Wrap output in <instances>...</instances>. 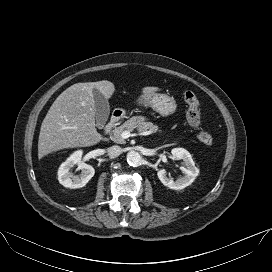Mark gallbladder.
<instances>
[{"mask_svg":"<svg viewBox=\"0 0 272 272\" xmlns=\"http://www.w3.org/2000/svg\"><path fill=\"white\" fill-rule=\"evenodd\" d=\"M93 96L96 109V125L102 129L110 114V106L108 99L96 88L93 89Z\"/></svg>","mask_w":272,"mask_h":272,"instance_id":"gallbladder-1","label":"gallbladder"}]
</instances>
